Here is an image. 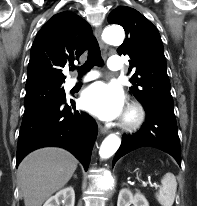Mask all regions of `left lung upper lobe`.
<instances>
[{
    "label": "left lung upper lobe",
    "mask_w": 197,
    "mask_h": 206,
    "mask_svg": "<svg viewBox=\"0 0 197 206\" xmlns=\"http://www.w3.org/2000/svg\"><path fill=\"white\" fill-rule=\"evenodd\" d=\"M108 22L121 25L126 32V39L117 52L130 57L129 71H135L131 93L145 107L173 110L166 59L157 28L137 10L126 6L114 9Z\"/></svg>",
    "instance_id": "1"
}]
</instances>
